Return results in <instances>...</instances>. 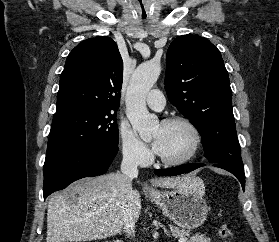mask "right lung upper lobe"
Wrapping results in <instances>:
<instances>
[{"instance_id":"cb5924a9","label":"right lung upper lobe","mask_w":279,"mask_h":242,"mask_svg":"<svg viewBox=\"0 0 279 242\" xmlns=\"http://www.w3.org/2000/svg\"><path fill=\"white\" fill-rule=\"evenodd\" d=\"M123 61L107 36L87 39L68 55L60 77L56 114L77 109L116 111Z\"/></svg>"}]
</instances>
